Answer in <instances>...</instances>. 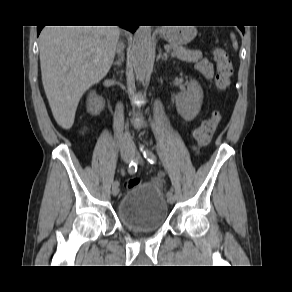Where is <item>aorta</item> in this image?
<instances>
[{
  "instance_id": "762f6f07",
  "label": "aorta",
  "mask_w": 292,
  "mask_h": 292,
  "mask_svg": "<svg viewBox=\"0 0 292 292\" xmlns=\"http://www.w3.org/2000/svg\"><path fill=\"white\" fill-rule=\"evenodd\" d=\"M132 62L137 80L143 82L149 68L151 55V27L139 26L133 38Z\"/></svg>"
}]
</instances>
